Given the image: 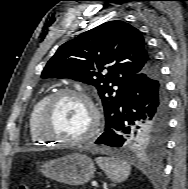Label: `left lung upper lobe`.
Listing matches in <instances>:
<instances>
[{
	"label": "left lung upper lobe",
	"instance_id": "obj_1",
	"mask_svg": "<svg viewBox=\"0 0 188 189\" xmlns=\"http://www.w3.org/2000/svg\"><path fill=\"white\" fill-rule=\"evenodd\" d=\"M153 60L154 56L137 28L123 21H109L61 45L41 77L70 78L94 85L102 100L107 125L122 102L126 85ZM104 69L106 74H102ZM166 129V126L151 124L139 127L133 130L126 146L146 147L160 153Z\"/></svg>",
	"mask_w": 188,
	"mask_h": 189
}]
</instances>
